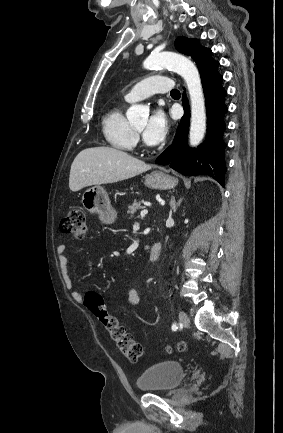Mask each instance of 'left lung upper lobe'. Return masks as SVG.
I'll use <instances>...</instances> for the list:
<instances>
[{
  "label": "left lung upper lobe",
  "mask_w": 283,
  "mask_h": 433,
  "mask_svg": "<svg viewBox=\"0 0 283 433\" xmlns=\"http://www.w3.org/2000/svg\"><path fill=\"white\" fill-rule=\"evenodd\" d=\"M175 47L179 52L191 56L194 60L207 50L206 48L200 47L196 40H190L184 37L177 38Z\"/></svg>",
  "instance_id": "obj_1"
}]
</instances>
